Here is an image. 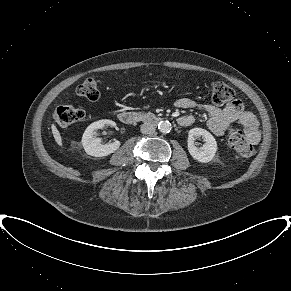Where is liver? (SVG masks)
I'll list each match as a JSON object with an SVG mask.
<instances>
[{
    "instance_id": "liver-1",
    "label": "liver",
    "mask_w": 291,
    "mask_h": 291,
    "mask_svg": "<svg viewBox=\"0 0 291 291\" xmlns=\"http://www.w3.org/2000/svg\"><path fill=\"white\" fill-rule=\"evenodd\" d=\"M51 129H52V134H53V137H54L56 143L62 147V145H63L62 138H61V135H60L58 129L56 128V126L54 124H52Z\"/></svg>"
}]
</instances>
